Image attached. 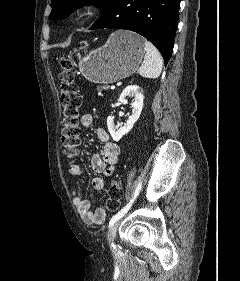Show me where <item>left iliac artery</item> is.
<instances>
[{"label": "left iliac artery", "instance_id": "44dca946", "mask_svg": "<svg viewBox=\"0 0 240 281\" xmlns=\"http://www.w3.org/2000/svg\"><path fill=\"white\" fill-rule=\"evenodd\" d=\"M141 189V182L138 184L136 190H135V193H134V196L133 198L130 200V202L125 206L123 207L117 214H115L110 222H109V227H112L114 225V223L116 221H118L128 210L129 208L131 207L132 203L134 202L135 198L137 197L139 191ZM113 248H115V245H113Z\"/></svg>", "mask_w": 240, "mask_h": 281}]
</instances>
